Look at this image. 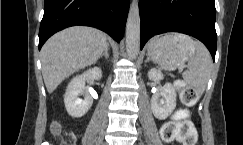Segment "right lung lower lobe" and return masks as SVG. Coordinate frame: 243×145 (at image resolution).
<instances>
[{"label":"right lung lower lobe","instance_id":"right-lung-lower-lobe-1","mask_svg":"<svg viewBox=\"0 0 243 145\" xmlns=\"http://www.w3.org/2000/svg\"><path fill=\"white\" fill-rule=\"evenodd\" d=\"M130 0H45L39 31V50L54 33L74 25L103 30L119 42Z\"/></svg>","mask_w":243,"mask_h":145}]
</instances>
